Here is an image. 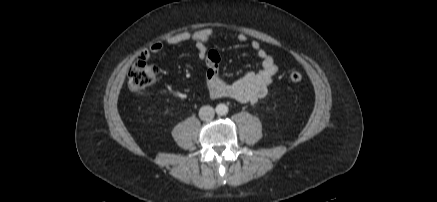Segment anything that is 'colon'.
<instances>
[{"instance_id": "1", "label": "colon", "mask_w": 437, "mask_h": 202, "mask_svg": "<svg viewBox=\"0 0 437 202\" xmlns=\"http://www.w3.org/2000/svg\"><path fill=\"white\" fill-rule=\"evenodd\" d=\"M158 67L148 64L145 61H139L134 64L128 74V89L132 93H139L147 87L154 84L158 79ZM289 79L294 82H300L303 76L298 71L289 74Z\"/></svg>"}]
</instances>
